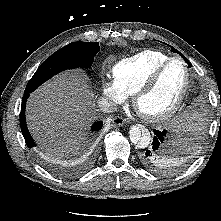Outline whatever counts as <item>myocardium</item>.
I'll use <instances>...</instances> for the list:
<instances>
[{
    "label": "myocardium",
    "instance_id": "obj_1",
    "mask_svg": "<svg viewBox=\"0 0 221 221\" xmlns=\"http://www.w3.org/2000/svg\"><path fill=\"white\" fill-rule=\"evenodd\" d=\"M175 61H180L184 68H185V83L183 89L177 98V100L166 110L155 113V114H148L144 113L139 108V103L141 99L146 96L152 89L157 85L158 81L160 80L161 76L165 72V70ZM191 87V73L190 68L185 59L179 56L170 57L166 60L163 64H161L148 78L147 80L136 90L133 97V105L136 111L147 121L150 122H161L171 118L177 111L181 108L186 97L190 91Z\"/></svg>",
    "mask_w": 221,
    "mask_h": 221
}]
</instances>
